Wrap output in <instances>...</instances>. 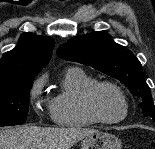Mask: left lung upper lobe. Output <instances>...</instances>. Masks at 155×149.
I'll return each mask as SVG.
<instances>
[{
  "mask_svg": "<svg viewBox=\"0 0 155 149\" xmlns=\"http://www.w3.org/2000/svg\"><path fill=\"white\" fill-rule=\"evenodd\" d=\"M57 55L120 80L140 99L139 107L144 116L155 121V105L141 63L130 50L115 43L106 31L75 36L57 49Z\"/></svg>",
  "mask_w": 155,
  "mask_h": 149,
  "instance_id": "obj_1",
  "label": "left lung upper lobe"
}]
</instances>
